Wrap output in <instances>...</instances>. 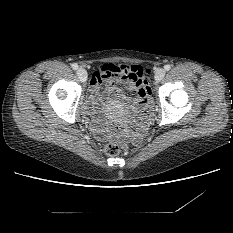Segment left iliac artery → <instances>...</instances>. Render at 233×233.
<instances>
[{
    "label": "left iliac artery",
    "mask_w": 233,
    "mask_h": 233,
    "mask_svg": "<svg viewBox=\"0 0 233 233\" xmlns=\"http://www.w3.org/2000/svg\"><path fill=\"white\" fill-rule=\"evenodd\" d=\"M164 69H165L166 71H169V70L171 69V66H170L169 64H167V65L164 66Z\"/></svg>",
    "instance_id": "44dca946"
}]
</instances>
